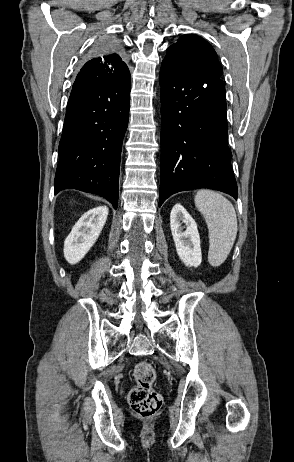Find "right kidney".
I'll list each match as a JSON object with an SVG mask.
<instances>
[{"instance_id": "ca27d5eb", "label": "right kidney", "mask_w": 294, "mask_h": 462, "mask_svg": "<svg viewBox=\"0 0 294 462\" xmlns=\"http://www.w3.org/2000/svg\"><path fill=\"white\" fill-rule=\"evenodd\" d=\"M108 208L99 206L85 212L64 241V257L78 263L98 239L108 216Z\"/></svg>"}]
</instances>
